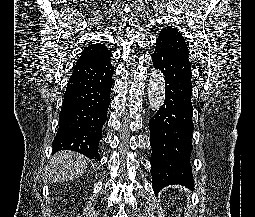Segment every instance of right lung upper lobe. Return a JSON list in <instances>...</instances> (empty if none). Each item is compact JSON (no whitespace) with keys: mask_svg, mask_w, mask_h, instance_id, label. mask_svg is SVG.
<instances>
[{"mask_svg":"<svg viewBox=\"0 0 255 217\" xmlns=\"http://www.w3.org/2000/svg\"><path fill=\"white\" fill-rule=\"evenodd\" d=\"M111 56L112 53L104 44L93 43L83 50L76 65L100 63L109 60Z\"/></svg>","mask_w":255,"mask_h":217,"instance_id":"cb5924a9","label":"right lung upper lobe"}]
</instances>
